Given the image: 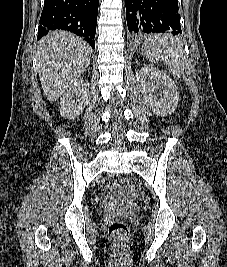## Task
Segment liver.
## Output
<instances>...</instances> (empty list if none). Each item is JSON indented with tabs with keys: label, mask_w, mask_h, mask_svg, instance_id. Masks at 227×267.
I'll return each mask as SVG.
<instances>
[{
	"label": "liver",
	"mask_w": 227,
	"mask_h": 267,
	"mask_svg": "<svg viewBox=\"0 0 227 267\" xmlns=\"http://www.w3.org/2000/svg\"><path fill=\"white\" fill-rule=\"evenodd\" d=\"M36 57L42 89L53 102L86 71L91 47L72 33L53 31L39 42Z\"/></svg>",
	"instance_id": "liver-1"
}]
</instances>
